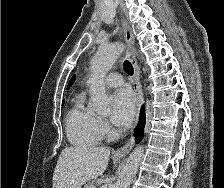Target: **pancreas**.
<instances>
[{"label":"pancreas","instance_id":"1","mask_svg":"<svg viewBox=\"0 0 224 188\" xmlns=\"http://www.w3.org/2000/svg\"><path fill=\"white\" fill-rule=\"evenodd\" d=\"M91 187H94V181L86 183L83 188H91Z\"/></svg>","mask_w":224,"mask_h":188}]
</instances>
